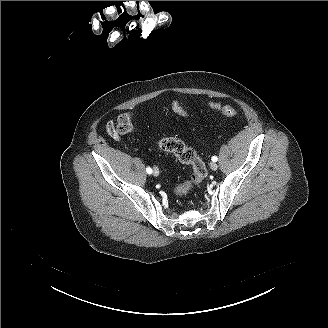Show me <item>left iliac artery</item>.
I'll list each match as a JSON object with an SVG mask.
<instances>
[{
	"label": "left iliac artery",
	"mask_w": 328,
	"mask_h": 328,
	"mask_svg": "<svg viewBox=\"0 0 328 328\" xmlns=\"http://www.w3.org/2000/svg\"><path fill=\"white\" fill-rule=\"evenodd\" d=\"M218 160V158L216 156L212 157V161L216 162Z\"/></svg>",
	"instance_id": "left-iliac-artery-1"
}]
</instances>
